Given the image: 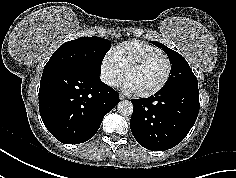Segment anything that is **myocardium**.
<instances>
[{
    "instance_id": "obj_1",
    "label": "myocardium",
    "mask_w": 236,
    "mask_h": 178,
    "mask_svg": "<svg viewBox=\"0 0 236 178\" xmlns=\"http://www.w3.org/2000/svg\"><path fill=\"white\" fill-rule=\"evenodd\" d=\"M159 56L163 57L166 60V62H167V72L165 74V77L163 78V80L156 87H154V88H152L150 90L144 91V92H135V91H132V90L128 89L129 92L132 95H134L135 97L144 98V97H149V96H152V95L158 93L167 84V82L170 79V76H171V73H172V61H171V59L169 58V56L167 54H165L163 52H158V53H152V54L146 55L144 57L135 59L132 62H130L124 68L123 81H125L126 76L132 70H134L137 67L143 65L144 63H146L150 59L155 58V57H159Z\"/></svg>"
}]
</instances>
